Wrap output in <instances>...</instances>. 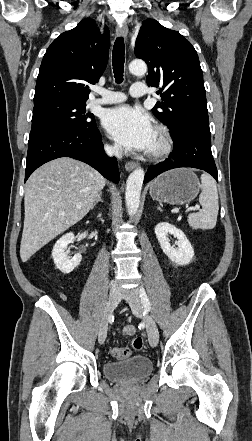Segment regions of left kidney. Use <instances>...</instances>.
<instances>
[{
  "label": "left kidney",
  "instance_id": "1",
  "mask_svg": "<svg viewBox=\"0 0 252 441\" xmlns=\"http://www.w3.org/2000/svg\"><path fill=\"white\" fill-rule=\"evenodd\" d=\"M155 234L163 252L170 260L178 265H187L191 262L194 256V250L191 243L180 229L167 222H161L156 225ZM168 234H171L178 239L175 243L177 245L176 248L171 246Z\"/></svg>",
  "mask_w": 252,
  "mask_h": 441
}]
</instances>
